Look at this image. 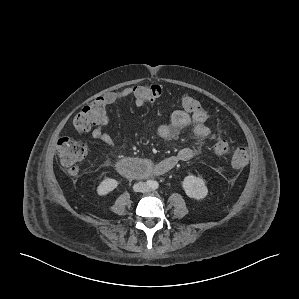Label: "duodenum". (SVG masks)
Returning <instances> with one entry per match:
<instances>
[{
    "label": "duodenum",
    "mask_w": 299,
    "mask_h": 299,
    "mask_svg": "<svg viewBox=\"0 0 299 299\" xmlns=\"http://www.w3.org/2000/svg\"><path fill=\"white\" fill-rule=\"evenodd\" d=\"M118 172L129 178H145L152 174L149 161L140 158H127L117 162Z\"/></svg>",
    "instance_id": "obj_1"
}]
</instances>
